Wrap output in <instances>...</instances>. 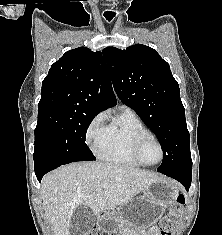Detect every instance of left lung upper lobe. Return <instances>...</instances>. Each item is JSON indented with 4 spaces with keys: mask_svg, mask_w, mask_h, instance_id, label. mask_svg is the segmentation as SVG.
Instances as JSON below:
<instances>
[{
    "mask_svg": "<svg viewBox=\"0 0 222 235\" xmlns=\"http://www.w3.org/2000/svg\"><path fill=\"white\" fill-rule=\"evenodd\" d=\"M114 89L154 132L163 149L158 172H192L189 132L177 81L155 49H103Z\"/></svg>",
    "mask_w": 222,
    "mask_h": 235,
    "instance_id": "5c2ea615",
    "label": "left lung upper lobe"
}]
</instances>
